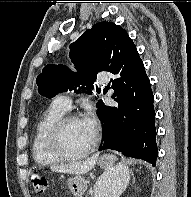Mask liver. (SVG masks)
I'll return each instance as SVG.
<instances>
[{
  "label": "liver",
  "instance_id": "obj_1",
  "mask_svg": "<svg viewBox=\"0 0 191 197\" xmlns=\"http://www.w3.org/2000/svg\"><path fill=\"white\" fill-rule=\"evenodd\" d=\"M99 154H94L85 161L73 162L70 164L52 166L51 170L55 172L81 175L89 172L96 164Z\"/></svg>",
  "mask_w": 191,
  "mask_h": 197
}]
</instances>
